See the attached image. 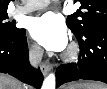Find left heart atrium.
<instances>
[{"mask_svg":"<svg viewBox=\"0 0 107 89\" xmlns=\"http://www.w3.org/2000/svg\"><path fill=\"white\" fill-rule=\"evenodd\" d=\"M30 33L47 50L62 51L68 43L65 24L53 12L34 18L31 22Z\"/></svg>","mask_w":107,"mask_h":89,"instance_id":"1","label":"left heart atrium"}]
</instances>
